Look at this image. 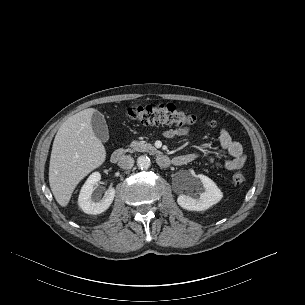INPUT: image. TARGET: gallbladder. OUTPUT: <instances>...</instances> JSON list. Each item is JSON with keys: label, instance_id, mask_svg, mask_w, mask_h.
Returning <instances> with one entry per match:
<instances>
[{"label": "gallbladder", "instance_id": "gallbladder-1", "mask_svg": "<svg viewBox=\"0 0 305 305\" xmlns=\"http://www.w3.org/2000/svg\"><path fill=\"white\" fill-rule=\"evenodd\" d=\"M91 125L96 137L102 141L107 142L109 140V131L104 116L95 112L91 117Z\"/></svg>", "mask_w": 305, "mask_h": 305}]
</instances>
